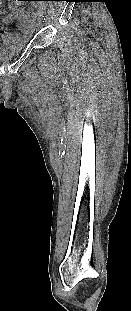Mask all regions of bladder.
<instances>
[{
	"label": "bladder",
	"mask_w": 131,
	"mask_h": 311,
	"mask_svg": "<svg viewBox=\"0 0 131 311\" xmlns=\"http://www.w3.org/2000/svg\"><path fill=\"white\" fill-rule=\"evenodd\" d=\"M6 37H8V35L0 38V62L9 60L18 55L28 45V41L21 38L19 35L9 38Z\"/></svg>",
	"instance_id": "bladder-1"
}]
</instances>
